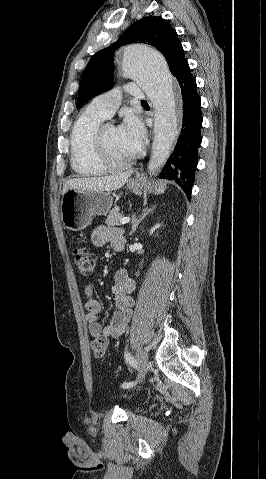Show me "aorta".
Masks as SVG:
<instances>
[{"label":"aorta","mask_w":266,"mask_h":479,"mask_svg":"<svg viewBox=\"0 0 266 479\" xmlns=\"http://www.w3.org/2000/svg\"><path fill=\"white\" fill-rule=\"evenodd\" d=\"M121 63L123 75L145 91L154 107L153 143L147 166L154 175L165 165L178 133L174 80L163 56L146 45L126 46Z\"/></svg>","instance_id":"obj_1"}]
</instances>
